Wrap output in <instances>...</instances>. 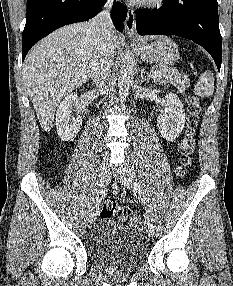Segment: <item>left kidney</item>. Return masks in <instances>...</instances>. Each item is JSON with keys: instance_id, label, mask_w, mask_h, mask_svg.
Here are the masks:
<instances>
[{"instance_id": "obj_1", "label": "left kidney", "mask_w": 233, "mask_h": 286, "mask_svg": "<svg viewBox=\"0 0 233 286\" xmlns=\"http://www.w3.org/2000/svg\"><path fill=\"white\" fill-rule=\"evenodd\" d=\"M185 125V110L176 94L166 96L164 112L157 118L159 132L167 141H175Z\"/></svg>"}]
</instances>
